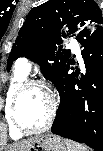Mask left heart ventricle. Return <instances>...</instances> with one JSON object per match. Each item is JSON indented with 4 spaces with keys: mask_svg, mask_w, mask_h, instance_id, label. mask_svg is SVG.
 Returning a JSON list of instances; mask_svg holds the SVG:
<instances>
[{
    "mask_svg": "<svg viewBox=\"0 0 103 151\" xmlns=\"http://www.w3.org/2000/svg\"><path fill=\"white\" fill-rule=\"evenodd\" d=\"M49 103L46 94L39 88L27 90L17 105V118L26 128L36 129L47 120Z\"/></svg>",
    "mask_w": 103,
    "mask_h": 151,
    "instance_id": "b2bd125f",
    "label": "left heart ventricle"
}]
</instances>
